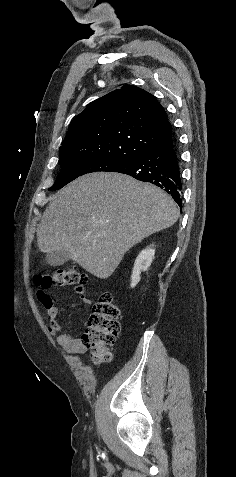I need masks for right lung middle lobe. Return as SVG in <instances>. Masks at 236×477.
<instances>
[{
    "label": "right lung middle lobe",
    "mask_w": 236,
    "mask_h": 477,
    "mask_svg": "<svg viewBox=\"0 0 236 477\" xmlns=\"http://www.w3.org/2000/svg\"><path fill=\"white\" fill-rule=\"evenodd\" d=\"M129 160L106 156H86L59 161L61 171L49 190H57L79 176L92 172H114L124 166Z\"/></svg>",
    "instance_id": "dd1d6c3e"
}]
</instances>
